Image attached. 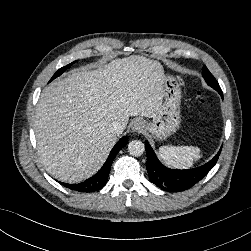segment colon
<instances>
[{
  "label": "colon",
  "instance_id": "obj_1",
  "mask_svg": "<svg viewBox=\"0 0 251 251\" xmlns=\"http://www.w3.org/2000/svg\"><path fill=\"white\" fill-rule=\"evenodd\" d=\"M197 100L200 104H204L205 103V98L203 96V94L201 92H197L196 94Z\"/></svg>",
  "mask_w": 251,
  "mask_h": 251
}]
</instances>
